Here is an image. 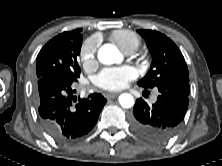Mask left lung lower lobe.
Instances as JSON below:
<instances>
[{
	"label": "left lung lower lobe",
	"instance_id": "obj_1",
	"mask_svg": "<svg viewBox=\"0 0 222 166\" xmlns=\"http://www.w3.org/2000/svg\"><path fill=\"white\" fill-rule=\"evenodd\" d=\"M157 101L148 105L142 98L136 100L131 127L141 138L163 143L179 130L189 103V81L166 80L158 86Z\"/></svg>",
	"mask_w": 222,
	"mask_h": 166
}]
</instances>
